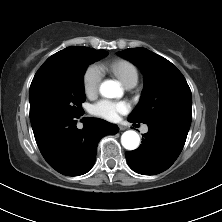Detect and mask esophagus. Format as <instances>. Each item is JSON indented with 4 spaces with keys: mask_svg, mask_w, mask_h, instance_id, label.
Listing matches in <instances>:
<instances>
[{
    "mask_svg": "<svg viewBox=\"0 0 222 222\" xmlns=\"http://www.w3.org/2000/svg\"><path fill=\"white\" fill-rule=\"evenodd\" d=\"M119 129H120L121 131H124V130L126 129V127L120 125V126H119Z\"/></svg>",
    "mask_w": 222,
    "mask_h": 222,
    "instance_id": "34e87169",
    "label": "esophagus"
}]
</instances>
